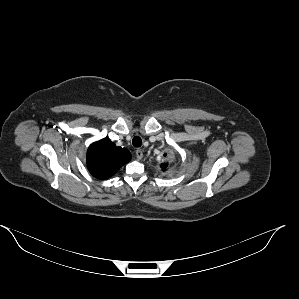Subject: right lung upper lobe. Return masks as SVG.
Instances as JSON below:
<instances>
[{"label":"right lung upper lobe","mask_w":299,"mask_h":299,"mask_svg":"<svg viewBox=\"0 0 299 299\" xmlns=\"http://www.w3.org/2000/svg\"><path fill=\"white\" fill-rule=\"evenodd\" d=\"M131 159L130 152L117 147L105 138L90 145L87 151V167L90 173L98 179H107Z\"/></svg>","instance_id":"cb5924a9"}]
</instances>
